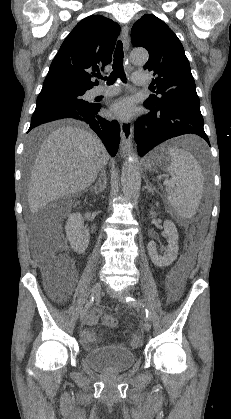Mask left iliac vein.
<instances>
[{
    "instance_id": "obj_1",
    "label": "left iliac vein",
    "mask_w": 231,
    "mask_h": 419,
    "mask_svg": "<svg viewBox=\"0 0 231 419\" xmlns=\"http://www.w3.org/2000/svg\"><path fill=\"white\" fill-rule=\"evenodd\" d=\"M128 295H129V294H128V292H127L126 290L121 291V292L118 294V299H119V301H121V302L125 303V302H126V297H127ZM143 327H144V330H145V331L149 332V331L151 330V323H150L148 320H146V321L144 322Z\"/></svg>"
}]
</instances>
